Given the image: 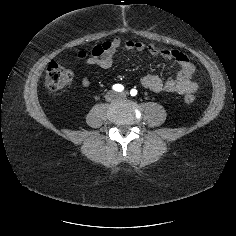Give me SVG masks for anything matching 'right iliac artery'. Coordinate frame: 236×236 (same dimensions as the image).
Here are the masks:
<instances>
[{
    "label": "right iliac artery",
    "instance_id": "right-iliac-artery-1",
    "mask_svg": "<svg viewBox=\"0 0 236 236\" xmlns=\"http://www.w3.org/2000/svg\"><path fill=\"white\" fill-rule=\"evenodd\" d=\"M112 89L117 92H122L124 90V86L121 84H115L113 85Z\"/></svg>",
    "mask_w": 236,
    "mask_h": 236
}]
</instances>
